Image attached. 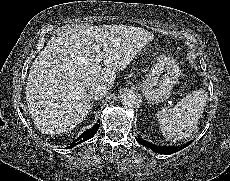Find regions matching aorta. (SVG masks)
<instances>
[{
	"mask_svg": "<svg viewBox=\"0 0 230 181\" xmlns=\"http://www.w3.org/2000/svg\"><path fill=\"white\" fill-rule=\"evenodd\" d=\"M141 100L133 91H125L121 95V104L127 108H137L140 106Z\"/></svg>",
	"mask_w": 230,
	"mask_h": 181,
	"instance_id": "aorta-1",
	"label": "aorta"
}]
</instances>
